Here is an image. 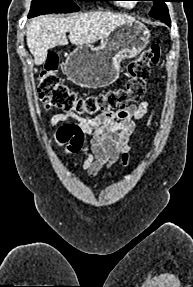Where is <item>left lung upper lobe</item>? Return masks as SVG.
Here are the masks:
<instances>
[{"label":"left lung upper lobe","mask_w":193,"mask_h":287,"mask_svg":"<svg viewBox=\"0 0 193 287\" xmlns=\"http://www.w3.org/2000/svg\"><path fill=\"white\" fill-rule=\"evenodd\" d=\"M151 1H153L154 6L149 12V15L153 18L161 20L167 25H170L169 12L165 4V2H167L168 0H151Z\"/></svg>","instance_id":"5c2ea615"}]
</instances>
